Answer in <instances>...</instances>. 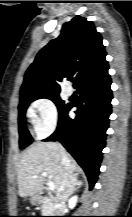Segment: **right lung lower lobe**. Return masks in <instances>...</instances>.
Here are the masks:
<instances>
[{"label":"right lung lower lobe","instance_id":"obj_1","mask_svg":"<svg viewBox=\"0 0 132 217\" xmlns=\"http://www.w3.org/2000/svg\"><path fill=\"white\" fill-rule=\"evenodd\" d=\"M111 79L78 88L80 102L75 119L68 117L71 104L59 114L56 131L45 141H59L84 169L93 188L105 147L106 130L111 114Z\"/></svg>","mask_w":132,"mask_h":217}]
</instances>
